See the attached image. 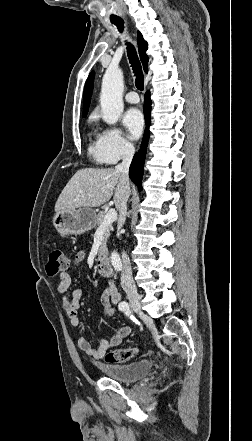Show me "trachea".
I'll return each mask as SVG.
<instances>
[{
    "mask_svg": "<svg viewBox=\"0 0 252 441\" xmlns=\"http://www.w3.org/2000/svg\"><path fill=\"white\" fill-rule=\"evenodd\" d=\"M112 23L117 26V28L120 32L123 31V29H124L123 20H114V21H112ZM126 44H127L128 58H129L131 66H132L133 72L136 76L135 85L138 90L142 91L144 89V76L142 73L140 61L138 59V56H137V53H136L134 46H132L128 42Z\"/></svg>",
    "mask_w": 252,
    "mask_h": 441,
    "instance_id": "1",
    "label": "trachea"
}]
</instances>
